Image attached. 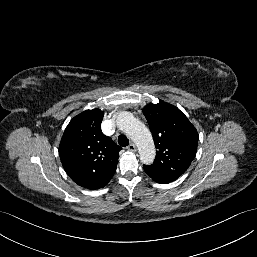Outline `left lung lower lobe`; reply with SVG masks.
Instances as JSON below:
<instances>
[{
  "instance_id": "left-lung-lower-lobe-1",
  "label": "left lung lower lobe",
  "mask_w": 257,
  "mask_h": 257,
  "mask_svg": "<svg viewBox=\"0 0 257 257\" xmlns=\"http://www.w3.org/2000/svg\"><path fill=\"white\" fill-rule=\"evenodd\" d=\"M154 181H156L158 183L166 184L165 182H161V181H157V180H154Z\"/></svg>"
}]
</instances>
